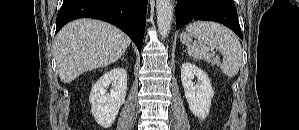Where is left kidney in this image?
I'll list each match as a JSON object with an SVG mask.
<instances>
[{"mask_svg": "<svg viewBox=\"0 0 299 130\" xmlns=\"http://www.w3.org/2000/svg\"><path fill=\"white\" fill-rule=\"evenodd\" d=\"M198 79V84H193V79ZM181 81L191 112L200 119L209 114L211 101L214 95L211 82L207 74L190 62L181 67Z\"/></svg>", "mask_w": 299, "mask_h": 130, "instance_id": "1", "label": "left kidney"}]
</instances>
